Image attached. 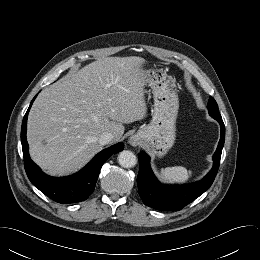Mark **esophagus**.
Masks as SVG:
<instances>
[{
	"mask_svg": "<svg viewBox=\"0 0 260 260\" xmlns=\"http://www.w3.org/2000/svg\"><path fill=\"white\" fill-rule=\"evenodd\" d=\"M129 144L132 146H137L139 144V138L136 135H133L129 139Z\"/></svg>",
	"mask_w": 260,
	"mask_h": 260,
	"instance_id": "obj_1",
	"label": "esophagus"
}]
</instances>
